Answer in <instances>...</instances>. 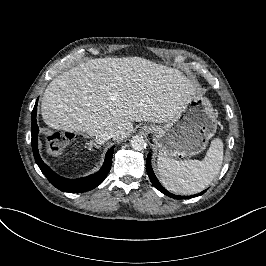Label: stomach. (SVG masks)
<instances>
[{
  "label": "stomach",
  "mask_w": 266,
  "mask_h": 266,
  "mask_svg": "<svg viewBox=\"0 0 266 266\" xmlns=\"http://www.w3.org/2000/svg\"><path fill=\"white\" fill-rule=\"evenodd\" d=\"M217 127L211 102L204 97H193L187 108L169 122L146 124L142 130L155 134L154 144L165 157L181 159L202 152Z\"/></svg>",
  "instance_id": "1"
}]
</instances>
